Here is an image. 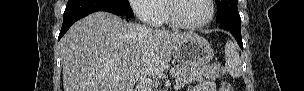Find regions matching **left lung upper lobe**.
<instances>
[{"mask_svg": "<svg viewBox=\"0 0 304 91\" xmlns=\"http://www.w3.org/2000/svg\"><path fill=\"white\" fill-rule=\"evenodd\" d=\"M218 8L217 23L229 18L240 16L237 9L238 0H215Z\"/></svg>", "mask_w": 304, "mask_h": 91, "instance_id": "1", "label": "left lung upper lobe"}]
</instances>
